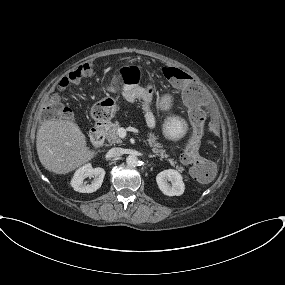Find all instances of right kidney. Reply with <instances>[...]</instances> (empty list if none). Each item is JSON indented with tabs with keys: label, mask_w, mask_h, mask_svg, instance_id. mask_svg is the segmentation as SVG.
Segmentation results:
<instances>
[{
	"label": "right kidney",
	"mask_w": 285,
	"mask_h": 285,
	"mask_svg": "<svg viewBox=\"0 0 285 285\" xmlns=\"http://www.w3.org/2000/svg\"><path fill=\"white\" fill-rule=\"evenodd\" d=\"M104 176L105 170L103 168H92L91 164H86L75 172L71 186L80 193H93L101 187ZM87 177L94 178L90 184L84 181Z\"/></svg>",
	"instance_id": "right-kidney-1"
}]
</instances>
